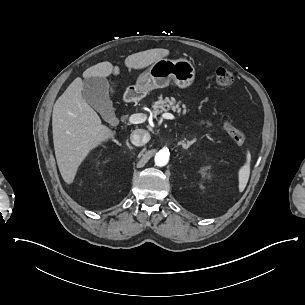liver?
I'll use <instances>...</instances> for the list:
<instances>
[{
  "instance_id": "obj_1",
  "label": "liver",
  "mask_w": 305,
  "mask_h": 305,
  "mask_svg": "<svg viewBox=\"0 0 305 305\" xmlns=\"http://www.w3.org/2000/svg\"><path fill=\"white\" fill-rule=\"evenodd\" d=\"M169 54L156 48L134 53L125 59L129 69H142ZM119 68L110 62H101L83 72L84 78L107 77ZM83 82L77 77L58 98L52 115L55 156L63 180L71 184L77 169L89 151L113 137L115 132L102 125L98 114L82 97Z\"/></svg>"
}]
</instances>
